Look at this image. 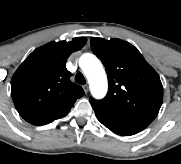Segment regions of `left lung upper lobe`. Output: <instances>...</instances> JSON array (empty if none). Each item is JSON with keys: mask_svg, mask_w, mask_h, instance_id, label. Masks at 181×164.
<instances>
[{"mask_svg": "<svg viewBox=\"0 0 181 164\" xmlns=\"http://www.w3.org/2000/svg\"><path fill=\"white\" fill-rule=\"evenodd\" d=\"M91 48L104 64L109 81L106 97L90 98L91 105L149 125L163 101V87L156 71L133 45L123 40L93 37Z\"/></svg>", "mask_w": 181, "mask_h": 164, "instance_id": "obj_1", "label": "left lung upper lobe"}]
</instances>
